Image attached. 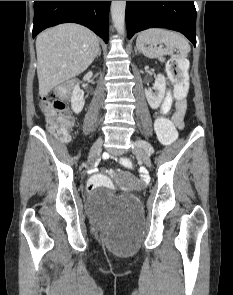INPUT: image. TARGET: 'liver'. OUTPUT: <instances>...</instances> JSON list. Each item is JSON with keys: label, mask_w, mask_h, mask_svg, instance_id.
Listing matches in <instances>:
<instances>
[{"label": "liver", "mask_w": 233, "mask_h": 295, "mask_svg": "<svg viewBox=\"0 0 233 295\" xmlns=\"http://www.w3.org/2000/svg\"><path fill=\"white\" fill-rule=\"evenodd\" d=\"M99 39L79 24H60L37 36V76L39 94L84 72L98 54Z\"/></svg>", "instance_id": "obj_1"}]
</instances>
